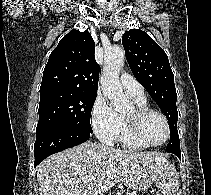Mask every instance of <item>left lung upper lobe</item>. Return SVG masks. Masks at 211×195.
<instances>
[{"label": "left lung upper lobe", "mask_w": 211, "mask_h": 195, "mask_svg": "<svg viewBox=\"0 0 211 195\" xmlns=\"http://www.w3.org/2000/svg\"><path fill=\"white\" fill-rule=\"evenodd\" d=\"M122 44L133 75L168 119L170 141L166 147L167 152L180 151L177 94L166 53L147 33L138 29L126 31Z\"/></svg>", "instance_id": "1"}]
</instances>
